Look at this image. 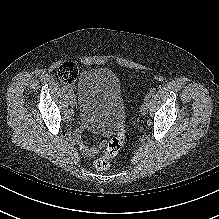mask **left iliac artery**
I'll list each match as a JSON object with an SVG mask.
<instances>
[{
    "mask_svg": "<svg viewBox=\"0 0 219 219\" xmlns=\"http://www.w3.org/2000/svg\"><path fill=\"white\" fill-rule=\"evenodd\" d=\"M151 95H152V93L149 92V93L145 96L144 102L148 103L149 100H150V98H151Z\"/></svg>",
    "mask_w": 219,
    "mask_h": 219,
    "instance_id": "obj_1",
    "label": "left iliac artery"
}]
</instances>
